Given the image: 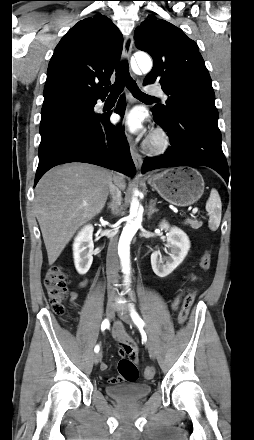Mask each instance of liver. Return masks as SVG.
<instances>
[{"label":"liver","instance_id":"obj_1","mask_svg":"<svg viewBox=\"0 0 254 440\" xmlns=\"http://www.w3.org/2000/svg\"><path fill=\"white\" fill-rule=\"evenodd\" d=\"M115 181L124 190V176L85 163H69L49 170L35 189V213L52 265L76 231L105 206Z\"/></svg>","mask_w":254,"mask_h":440}]
</instances>
